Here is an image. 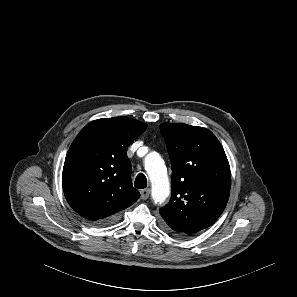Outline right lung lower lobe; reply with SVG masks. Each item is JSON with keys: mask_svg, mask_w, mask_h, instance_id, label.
Here are the masks:
<instances>
[{"mask_svg": "<svg viewBox=\"0 0 297 297\" xmlns=\"http://www.w3.org/2000/svg\"><path fill=\"white\" fill-rule=\"evenodd\" d=\"M115 218H116V216H114V217H112V218H110V219H108V220L100 221L99 224H100V225H107V224H110V223L114 222Z\"/></svg>", "mask_w": 297, "mask_h": 297, "instance_id": "obj_1", "label": "right lung lower lobe"}]
</instances>
